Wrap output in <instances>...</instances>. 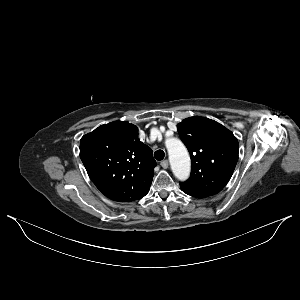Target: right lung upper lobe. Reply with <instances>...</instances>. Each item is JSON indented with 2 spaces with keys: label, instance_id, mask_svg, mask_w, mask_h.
<instances>
[{
  "label": "right lung upper lobe",
  "instance_id": "cb5924a9",
  "mask_svg": "<svg viewBox=\"0 0 300 300\" xmlns=\"http://www.w3.org/2000/svg\"><path fill=\"white\" fill-rule=\"evenodd\" d=\"M128 122L101 125L80 141V157L96 187L111 200L132 202L150 189L156 161Z\"/></svg>",
  "mask_w": 300,
  "mask_h": 300
}]
</instances>
